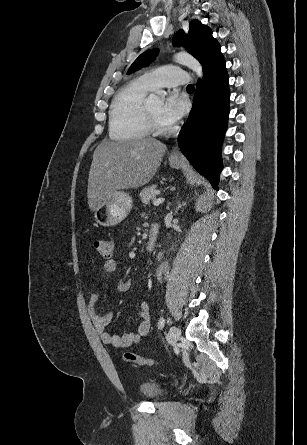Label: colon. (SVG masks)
Listing matches in <instances>:
<instances>
[{
    "label": "colon",
    "mask_w": 307,
    "mask_h": 445,
    "mask_svg": "<svg viewBox=\"0 0 307 445\" xmlns=\"http://www.w3.org/2000/svg\"><path fill=\"white\" fill-rule=\"evenodd\" d=\"M95 248L99 255L104 259H110L113 252V244L108 240H96ZM123 360L127 363L136 364L139 366L152 367L158 364V361L152 358H145L138 356L131 352H125L123 354Z\"/></svg>",
    "instance_id": "obj_1"
}]
</instances>
